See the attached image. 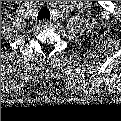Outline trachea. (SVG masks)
Wrapping results in <instances>:
<instances>
[{"instance_id": "3493384b", "label": "trachea", "mask_w": 121, "mask_h": 121, "mask_svg": "<svg viewBox=\"0 0 121 121\" xmlns=\"http://www.w3.org/2000/svg\"><path fill=\"white\" fill-rule=\"evenodd\" d=\"M38 19H50V11L47 8H42L39 12H38Z\"/></svg>"}]
</instances>
